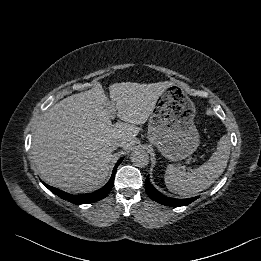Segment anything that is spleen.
Masks as SVG:
<instances>
[{
    "label": "spleen",
    "instance_id": "spleen-1",
    "mask_svg": "<svg viewBox=\"0 0 261 261\" xmlns=\"http://www.w3.org/2000/svg\"><path fill=\"white\" fill-rule=\"evenodd\" d=\"M230 156V140L227 135L220 138L216 151L200 167L186 171L169 164L165 171L167 188L181 196L189 197L210 187L220 177Z\"/></svg>",
    "mask_w": 261,
    "mask_h": 261
}]
</instances>
